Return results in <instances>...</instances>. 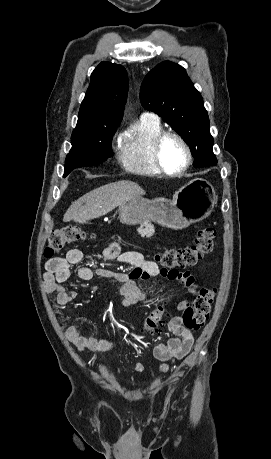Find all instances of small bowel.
I'll return each instance as SVG.
<instances>
[{
    "label": "small bowel",
    "mask_w": 271,
    "mask_h": 459,
    "mask_svg": "<svg viewBox=\"0 0 271 459\" xmlns=\"http://www.w3.org/2000/svg\"><path fill=\"white\" fill-rule=\"evenodd\" d=\"M102 256L106 260H116L121 263L131 264L134 268L127 273H112L100 267H90L81 265L76 270V275L82 280H90L94 275L102 277H112L121 284L120 295L122 305L130 307L138 304L144 297L142 291L137 287L136 280H147L161 276L170 281H178L182 286L197 296L199 293L198 285L194 276L189 271L170 270L159 268L153 261L147 260L144 256L135 251L122 252L117 242H110L102 251ZM85 257L81 249L68 251L65 257H55L46 263V270L43 275V285L47 293H56V301L59 305H67L79 297L76 290L67 291L63 283L72 275V267L80 263ZM188 301L184 300L177 304L179 310L185 309ZM167 327L175 337L166 343L158 344L153 349V355L162 362L160 371L165 372L170 364L181 360L190 352L194 337L191 329L184 326L181 316L172 317ZM65 335L79 351H109L116 347V340L111 338L96 339L85 337L76 327L65 329ZM136 371L144 370L142 364H137Z\"/></svg>",
    "instance_id": "obj_1"
}]
</instances>
